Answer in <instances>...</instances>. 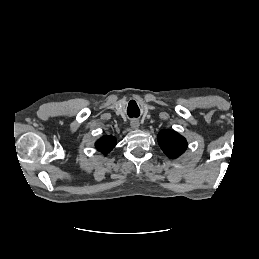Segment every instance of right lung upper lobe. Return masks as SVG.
Returning <instances> with one entry per match:
<instances>
[{"label": "right lung upper lobe", "instance_id": "obj_1", "mask_svg": "<svg viewBox=\"0 0 259 259\" xmlns=\"http://www.w3.org/2000/svg\"><path fill=\"white\" fill-rule=\"evenodd\" d=\"M116 145V139L113 136H104L99 139L95 146L103 154L109 153Z\"/></svg>", "mask_w": 259, "mask_h": 259}]
</instances>
